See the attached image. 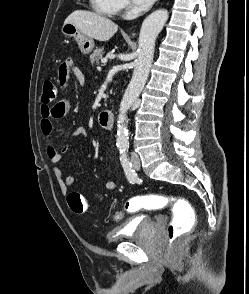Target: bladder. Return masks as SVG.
<instances>
[{
	"mask_svg": "<svg viewBox=\"0 0 249 294\" xmlns=\"http://www.w3.org/2000/svg\"><path fill=\"white\" fill-rule=\"evenodd\" d=\"M156 218L151 215L132 217L124 222L121 231H110L106 238L109 244H114L126 239H135L145 236L154 225Z\"/></svg>",
	"mask_w": 249,
	"mask_h": 294,
	"instance_id": "obj_1",
	"label": "bladder"
}]
</instances>
